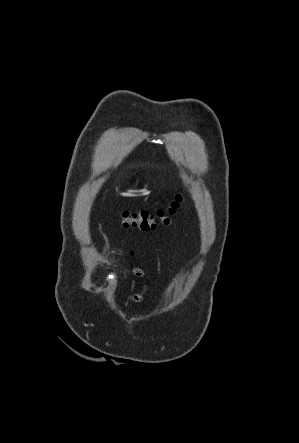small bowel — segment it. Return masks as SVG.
<instances>
[{"label":"small bowel","instance_id":"obj_1","mask_svg":"<svg viewBox=\"0 0 299 443\" xmlns=\"http://www.w3.org/2000/svg\"><path fill=\"white\" fill-rule=\"evenodd\" d=\"M133 272L138 277L144 275V271L140 268H137V267L133 269ZM144 293H145V289L139 293L134 294L131 298L132 302H136V303L141 302L143 299Z\"/></svg>","mask_w":299,"mask_h":443}]
</instances>
